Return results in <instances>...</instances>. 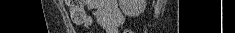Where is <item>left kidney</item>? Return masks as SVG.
Segmentation results:
<instances>
[{
	"instance_id": "obj_1",
	"label": "left kidney",
	"mask_w": 235,
	"mask_h": 33,
	"mask_svg": "<svg viewBox=\"0 0 235 33\" xmlns=\"http://www.w3.org/2000/svg\"><path fill=\"white\" fill-rule=\"evenodd\" d=\"M122 12L128 17H138L144 13L146 0H119Z\"/></svg>"
}]
</instances>
